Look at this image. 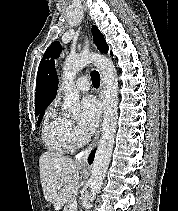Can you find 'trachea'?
Returning a JSON list of instances; mask_svg holds the SVG:
<instances>
[{
  "label": "trachea",
  "instance_id": "3493384b",
  "mask_svg": "<svg viewBox=\"0 0 178 211\" xmlns=\"http://www.w3.org/2000/svg\"><path fill=\"white\" fill-rule=\"evenodd\" d=\"M92 84L95 88H98L100 85V75L96 70L92 71L91 74Z\"/></svg>",
  "mask_w": 178,
  "mask_h": 211
}]
</instances>
